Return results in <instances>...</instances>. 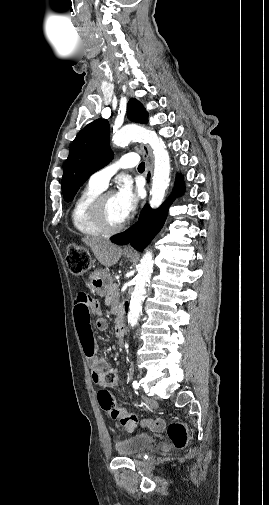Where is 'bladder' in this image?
I'll return each mask as SVG.
<instances>
[{"label":"bladder","mask_w":269,"mask_h":505,"mask_svg":"<svg viewBox=\"0 0 269 505\" xmlns=\"http://www.w3.org/2000/svg\"><path fill=\"white\" fill-rule=\"evenodd\" d=\"M155 443V438L149 434H137L130 438L118 441L115 450L118 455L124 457H136L142 455Z\"/></svg>","instance_id":"31cf9c89"}]
</instances>
